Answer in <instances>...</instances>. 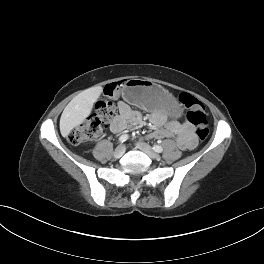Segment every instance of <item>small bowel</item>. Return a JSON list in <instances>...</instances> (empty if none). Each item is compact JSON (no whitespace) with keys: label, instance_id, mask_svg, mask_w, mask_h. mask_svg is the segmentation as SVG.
Here are the masks:
<instances>
[{"label":"small bowel","instance_id":"1","mask_svg":"<svg viewBox=\"0 0 264 264\" xmlns=\"http://www.w3.org/2000/svg\"><path fill=\"white\" fill-rule=\"evenodd\" d=\"M119 115L111 124L113 132L118 133L127 127H134L142 122V114L132 109L126 102H118ZM153 131L147 139H163L174 137L181 149H193L197 144L193 126L187 121L169 120L162 112H153L150 115Z\"/></svg>","mask_w":264,"mask_h":264}]
</instances>
